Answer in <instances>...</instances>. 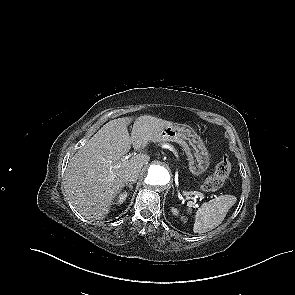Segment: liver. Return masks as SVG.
Here are the masks:
<instances>
[{"mask_svg": "<svg viewBox=\"0 0 295 295\" xmlns=\"http://www.w3.org/2000/svg\"><path fill=\"white\" fill-rule=\"evenodd\" d=\"M133 118H118L106 123L70 159L65 173V191L76 210L88 219L108 215L114 199L127 184L126 173L137 170L150 160L147 153L130 159L125 155L133 145L144 149L154 134L173 125L150 115L135 118L131 137L127 126Z\"/></svg>", "mask_w": 295, "mask_h": 295, "instance_id": "liver-1", "label": "liver"}]
</instances>
